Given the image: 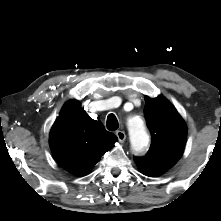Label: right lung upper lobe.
<instances>
[{
  "label": "right lung upper lobe",
  "instance_id": "1",
  "mask_svg": "<svg viewBox=\"0 0 221 221\" xmlns=\"http://www.w3.org/2000/svg\"><path fill=\"white\" fill-rule=\"evenodd\" d=\"M117 140L101 122L91 119L76 100L64 105L50 132L54 157L77 176L87 174Z\"/></svg>",
  "mask_w": 221,
  "mask_h": 221
}]
</instances>
